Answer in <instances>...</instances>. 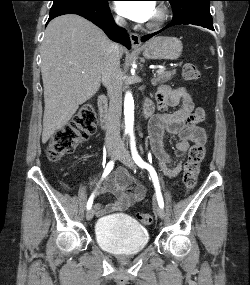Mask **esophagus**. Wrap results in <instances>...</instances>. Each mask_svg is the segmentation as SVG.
Returning <instances> with one entry per match:
<instances>
[{"label": "esophagus", "instance_id": "obj_1", "mask_svg": "<svg viewBox=\"0 0 250 285\" xmlns=\"http://www.w3.org/2000/svg\"><path fill=\"white\" fill-rule=\"evenodd\" d=\"M130 40L134 49H139L141 46L140 36L136 33H130Z\"/></svg>", "mask_w": 250, "mask_h": 285}]
</instances>
